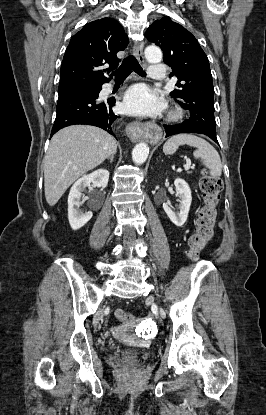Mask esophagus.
Segmentation results:
<instances>
[{
  "label": "esophagus",
  "mask_w": 266,
  "mask_h": 415,
  "mask_svg": "<svg viewBox=\"0 0 266 415\" xmlns=\"http://www.w3.org/2000/svg\"><path fill=\"white\" fill-rule=\"evenodd\" d=\"M143 48V41H139L134 48V54L140 63H144ZM126 133L133 142L140 140L144 136L143 123L138 120L131 122L126 128Z\"/></svg>",
  "instance_id": "1"
}]
</instances>
